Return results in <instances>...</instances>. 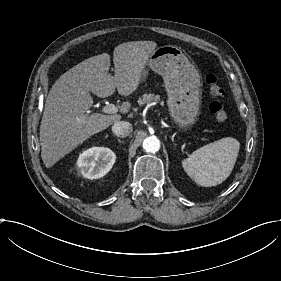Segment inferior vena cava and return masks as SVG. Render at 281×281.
I'll return each instance as SVG.
<instances>
[{
  "instance_id": "obj_1",
  "label": "inferior vena cava",
  "mask_w": 281,
  "mask_h": 281,
  "mask_svg": "<svg viewBox=\"0 0 281 281\" xmlns=\"http://www.w3.org/2000/svg\"><path fill=\"white\" fill-rule=\"evenodd\" d=\"M132 130V125L125 121H118L112 126V132L120 137L129 136Z\"/></svg>"
}]
</instances>
